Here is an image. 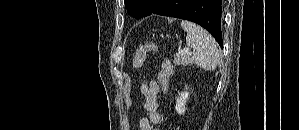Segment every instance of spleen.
<instances>
[{"instance_id":"obj_1","label":"spleen","mask_w":299,"mask_h":130,"mask_svg":"<svg viewBox=\"0 0 299 130\" xmlns=\"http://www.w3.org/2000/svg\"><path fill=\"white\" fill-rule=\"evenodd\" d=\"M181 27L187 33V46L193 49V62L204 70H214L219 63V50L215 39L192 22L182 21Z\"/></svg>"}]
</instances>
